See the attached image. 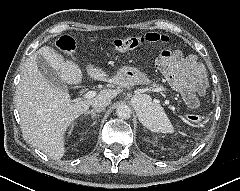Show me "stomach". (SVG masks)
<instances>
[{"label": "stomach", "instance_id": "1", "mask_svg": "<svg viewBox=\"0 0 240 191\" xmlns=\"http://www.w3.org/2000/svg\"><path fill=\"white\" fill-rule=\"evenodd\" d=\"M114 77L122 86H133L138 84L143 85L150 83V79L144 72L130 66L120 68ZM137 109L140 116L146 111V108L140 104H137Z\"/></svg>", "mask_w": 240, "mask_h": 191}]
</instances>
